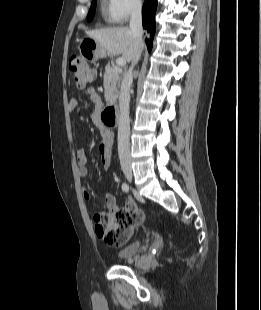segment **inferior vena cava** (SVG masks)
<instances>
[{
    "mask_svg": "<svg viewBox=\"0 0 261 310\" xmlns=\"http://www.w3.org/2000/svg\"><path fill=\"white\" fill-rule=\"evenodd\" d=\"M130 30L136 40L142 45V5L140 2L136 3L132 8L131 19H130ZM142 49H139L137 55L132 61V64L124 75L119 95V108L120 118L118 126V154L120 164L122 167H130V119H129V103H130V88L133 82L132 71L134 66L137 64Z\"/></svg>",
    "mask_w": 261,
    "mask_h": 310,
    "instance_id": "inferior-vena-cava-1",
    "label": "inferior vena cava"
}]
</instances>
